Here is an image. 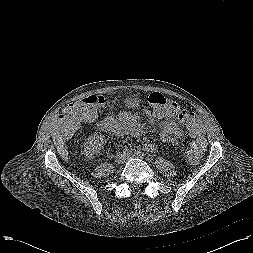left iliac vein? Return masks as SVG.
Returning a JSON list of instances; mask_svg holds the SVG:
<instances>
[{"label":"left iliac vein","mask_w":253,"mask_h":253,"mask_svg":"<svg viewBox=\"0 0 253 253\" xmlns=\"http://www.w3.org/2000/svg\"><path fill=\"white\" fill-rule=\"evenodd\" d=\"M135 156L134 155H130L127 157V159H131V158H134Z\"/></svg>","instance_id":"left-iliac-vein-1"}]
</instances>
